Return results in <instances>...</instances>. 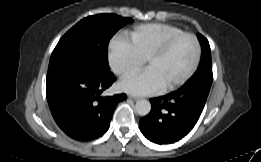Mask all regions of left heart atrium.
Returning <instances> with one entry per match:
<instances>
[{
	"mask_svg": "<svg viewBox=\"0 0 261 162\" xmlns=\"http://www.w3.org/2000/svg\"><path fill=\"white\" fill-rule=\"evenodd\" d=\"M119 87L135 95L154 94L162 90L163 85L156 73L147 68L139 74L123 78Z\"/></svg>",
	"mask_w": 261,
	"mask_h": 162,
	"instance_id": "39dd6f15",
	"label": "left heart atrium"
}]
</instances>
